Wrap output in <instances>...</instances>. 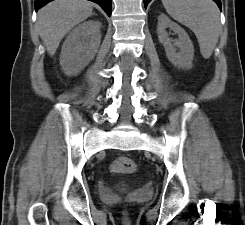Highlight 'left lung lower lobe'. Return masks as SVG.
I'll use <instances>...</instances> for the list:
<instances>
[{"mask_svg":"<svg viewBox=\"0 0 245 225\" xmlns=\"http://www.w3.org/2000/svg\"><path fill=\"white\" fill-rule=\"evenodd\" d=\"M151 0H144V5H145V8L147 7L148 3L150 2ZM216 2V4L218 5V7L221 9V1L220 0H213Z\"/></svg>","mask_w":245,"mask_h":225,"instance_id":"0a47b994","label":"left lung lower lobe"}]
</instances>
